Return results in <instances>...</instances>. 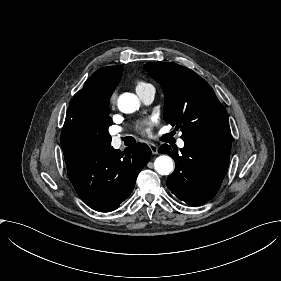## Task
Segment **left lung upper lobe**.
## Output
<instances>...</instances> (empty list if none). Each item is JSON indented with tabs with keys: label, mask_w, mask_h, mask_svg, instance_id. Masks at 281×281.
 <instances>
[{
	"label": "left lung upper lobe",
	"mask_w": 281,
	"mask_h": 281,
	"mask_svg": "<svg viewBox=\"0 0 281 281\" xmlns=\"http://www.w3.org/2000/svg\"><path fill=\"white\" fill-rule=\"evenodd\" d=\"M144 68L163 88L164 120L181 129L184 141L231 140L226 110L204 79L175 63L148 62Z\"/></svg>",
	"instance_id": "left-lung-upper-lobe-1"
}]
</instances>
